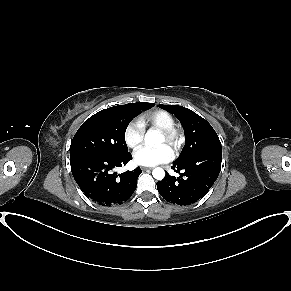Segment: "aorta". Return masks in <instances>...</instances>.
Instances as JSON below:
<instances>
[{
  "label": "aorta",
  "mask_w": 291,
  "mask_h": 291,
  "mask_svg": "<svg viewBox=\"0 0 291 291\" xmlns=\"http://www.w3.org/2000/svg\"><path fill=\"white\" fill-rule=\"evenodd\" d=\"M163 141V137L156 131L150 130L145 135V143L148 145H154ZM152 175L157 180H162L165 176V171L157 167L153 170Z\"/></svg>",
  "instance_id": "1"
}]
</instances>
